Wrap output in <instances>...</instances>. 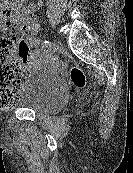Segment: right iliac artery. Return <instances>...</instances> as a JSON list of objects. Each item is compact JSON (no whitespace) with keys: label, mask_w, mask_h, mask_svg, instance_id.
Here are the masks:
<instances>
[{"label":"right iliac artery","mask_w":133,"mask_h":173,"mask_svg":"<svg viewBox=\"0 0 133 173\" xmlns=\"http://www.w3.org/2000/svg\"><path fill=\"white\" fill-rule=\"evenodd\" d=\"M49 45H50V42L49 41H44L43 48L44 49H48Z\"/></svg>","instance_id":"right-iliac-artery-1"}]
</instances>
